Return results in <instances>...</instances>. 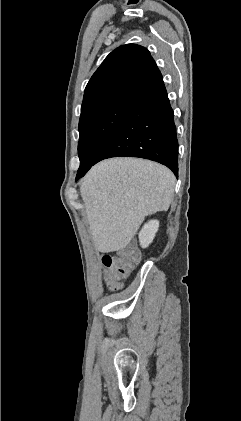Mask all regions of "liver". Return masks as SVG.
I'll use <instances>...</instances> for the list:
<instances>
[{"mask_svg": "<svg viewBox=\"0 0 241 421\" xmlns=\"http://www.w3.org/2000/svg\"><path fill=\"white\" fill-rule=\"evenodd\" d=\"M175 182L168 168L149 160L111 158L93 166L80 193L96 249L126 248L146 216L168 210Z\"/></svg>", "mask_w": 241, "mask_h": 421, "instance_id": "1", "label": "liver"}]
</instances>
